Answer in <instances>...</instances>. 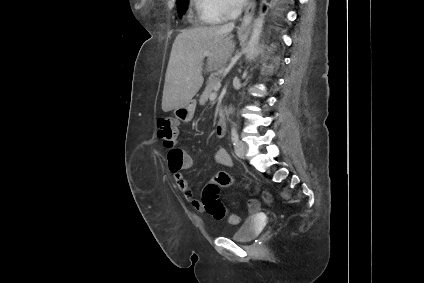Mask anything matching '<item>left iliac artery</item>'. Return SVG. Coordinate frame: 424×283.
I'll list each match as a JSON object with an SVG mask.
<instances>
[{"label": "left iliac artery", "mask_w": 424, "mask_h": 283, "mask_svg": "<svg viewBox=\"0 0 424 283\" xmlns=\"http://www.w3.org/2000/svg\"><path fill=\"white\" fill-rule=\"evenodd\" d=\"M231 139H232L233 145L236 146V144L239 141V138H238L237 129L234 126L231 128Z\"/></svg>", "instance_id": "1"}]
</instances>
